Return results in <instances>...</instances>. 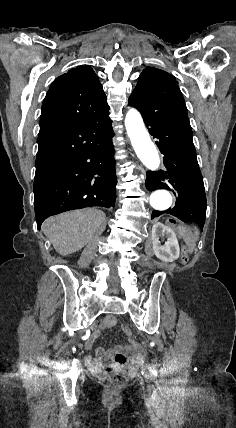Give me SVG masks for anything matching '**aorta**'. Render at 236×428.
I'll return each instance as SVG.
<instances>
[{"label": "aorta", "instance_id": "obj_1", "mask_svg": "<svg viewBox=\"0 0 236 428\" xmlns=\"http://www.w3.org/2000/svg\"><path fill=\"white\" fill-rule=\"evenodd\" d=\"M125 127L137 157L151 171L158 170L160 157L145 128L141 114L131 108L125 117ZM150 205L156 211L167 210L172 204V196L166 190H157L150 195Z\"/></svg>", "mask_w": 236, "mask_h": 428}]
</instances>
